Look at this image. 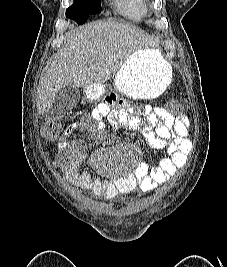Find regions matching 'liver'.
<instances>
[{
    "label": "liver",
    "mask_w": 227,
    "mask_h": 267,
    "mask_svg": "<svg viewBox=\"0 0 227 267\" xmlns=\"http://www.w3.org/2000/svg\"><path fill=\"white\" fill-rule=\"evenodd\" d=\"M65 44L39 81L37 111L53 105L65 87H88L116 76L126 60L150 44L137 27L123 22H95L67 33Z\"/></svg>",
    "instance_id": "obj_1"
}]
</instances>
